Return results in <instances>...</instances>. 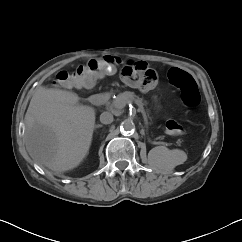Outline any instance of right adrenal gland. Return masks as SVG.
I'll use <instances>...</instances> for the list:
<instances>
[{"instance_id":"right-adrenal-gland-1","label":"right adrenal gland","mask_w":242,"mask_h":242,"mask_svg":"<svg viewBox=\"0 0 242 242\" xmlns=\"http://www.w3.org/2000/svg\"><path fill=\"white\" fill-rule=\"evenodd\" d=\"M103 125L101 124H98V125H95V128H101Z\"/></svg>"}]
</instances>
